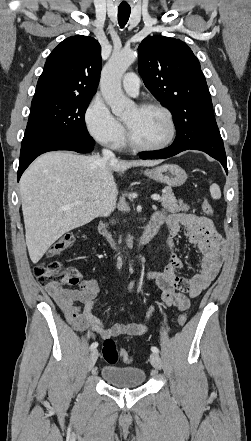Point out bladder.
Returning a JSON list of instances; mask_svg holds the SVG:
<instances>
[{
  "instance_id": "1",
  "label": "bladder",
  "mask_w": 251,
  "mask_h": 441,
  "mask_svg": "<svg viewBox=\"0 0 251 441\" xmlns=\"http://www.w3.org/2000/svg\"><path fill=\"white\" fill-rule=\"evenodd\" d=\"M100 374L106 383L117 388L139 387L146 381L145 371L138 367L105 365Z\"/></svg>"
}]
</instances>
